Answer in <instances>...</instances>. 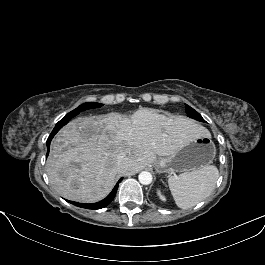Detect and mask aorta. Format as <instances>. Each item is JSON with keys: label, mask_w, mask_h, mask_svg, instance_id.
Returning a JSON list of instances; mask_svg holds the SVG:
<instances>
[{"label": "aorta", "mask_w": 265, "mask_h": 265, "mask_svg": "<svg viewBox=\"0 0 265 265\" xmlns=\"http://www.w3.org/2000/svg\"><path fill=\"white\" fill-rule=\"evenodd\" d=\"M139 182L143 185H149L152 182V174L148 171H142L138 176Z\"/></svg>", "instance_id": "aorta-1"}]
</instances>
